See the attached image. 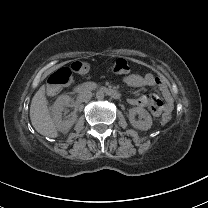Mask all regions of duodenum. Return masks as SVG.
Wrapping results in <instances>:
<instances>
[{
	"mask_svg": "<svg viewBox=\"0 0 208 208\" xmlns=\"http://www.w3.org/2000/svg\"><path fill=\"white\" fill-rule=\"evenodd\" d=\"M96 88H98V86L95 83H83L77 87V92L82 93ZM99 89L114 99H118L120 97L119 92L113 88L101 86Z\"/></svg>",
	"mask_w": 208,
	"mask_h": 208,
	"instance_id": "1",
	"label": "duodenum"
}]
</instances>
